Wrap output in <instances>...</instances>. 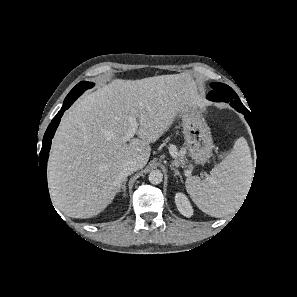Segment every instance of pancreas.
Listing matches in <instances>:
<instances>
[{
	"label": "pancreas",
	"instance_id": "pancreas-1",
	"mask_svg": "<svg viewBox=\"0 0 297 297\" xmlns=\"http://www.w3.org/2000/svg\"><path fill=\"white\" fill-rule=\"evenodd\" d=\"M170 151H171L172 156L179 157L180 159H182L181 151H178L176 148H171Z\"/></svg>",
	"mask_w": 297,
	"mask_h": 297
}]
</instances>
